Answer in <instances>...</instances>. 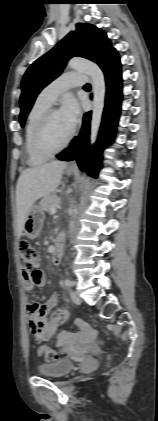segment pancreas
Wrapping results in <instances>:
<instances>
[{"instance_id":"1","label":"pancreas","mask_w":158,"mask_h":421,"mask_svg":"<svg viewBox=\"0 0 158 421\" xmlns=\"http://www.w3.org/2000/svg\"><path fill=\"white\" fill-rule=\"evenodd\" d=\"M60 203V198L54 194H50L44 197L40 202V207L46 211L50 212L52 208H56Z\"/></svg>"}]
</instances>
